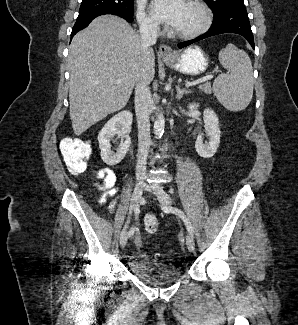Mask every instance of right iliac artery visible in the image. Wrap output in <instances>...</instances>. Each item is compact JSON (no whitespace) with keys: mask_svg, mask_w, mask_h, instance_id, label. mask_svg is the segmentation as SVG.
<instances>
[{"mask_svg":"<svg viewBox=\"0 0 298 325\" xmlns=\"http://www.w3.org/2000/svg\"><path fill=\"white\" fill-rule=\"evenodd\" d=\"M134 212H135V216L136 218L138 217V214L140 212L139 210V206L137 205L135 208H134ZM134 231H135V227H132L129 232H128V237H131L133 234H134Z\"/></svg>","mask_w":298,"mask_h":325,"instance_id":"obj_1","label":"right iliac artery"}]
</instances>
